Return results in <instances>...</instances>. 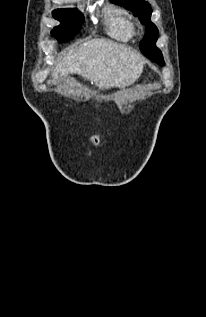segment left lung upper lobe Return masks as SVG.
Wrapping results in <instances>:
<instances>
[{
	"label": "left lung upper lobe",
	"instance_id": "left-lung-upper-lobe-1",
	"mask_svg": "<svg viewBox=\"0 0 206 317\" xmlns=\"http://www.w3.org/2000/svg\"><path fill=\"white\" fill-rule=\"evenodd\" d=\"M114 4L123 6L132 11L135 16L139 17L142 24L146 26L144 39L141 41L139 47L142 53L148 57L149 54L153 56L152 61L164 65V60L161 51L156 47L155 43L158 38V29L151 22L150 17L152 13L151 5L144 0H111Z\"/></svg>",
	"mask_w": 206,
	"mask_h": 317
}]
</instances>
